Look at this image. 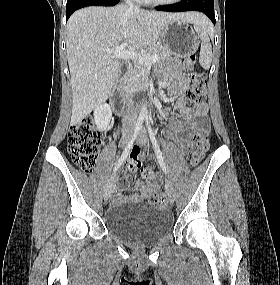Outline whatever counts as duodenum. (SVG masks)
Segmentation results:
<instances>
[{
  "mask_svg": "<svg viewBox=\"0 0 280 285\" xmlns=\"http://www.w3.org/2000/svg\"><path fill=\"white\" fill-rule=\"evenodd\" d=\"M144 92L147 93L148 91L145 89ZM125 99L126 93L123 89V82H119L116 87L115 95L112 97V103L119 116L123 114L122 104L124 103Z\"/></svg>",
  "mask_w": 280,
  "mask_h": 285,
  "instance_id": "410a0bca",
  "label": "duodenum"
}]
</instances>
